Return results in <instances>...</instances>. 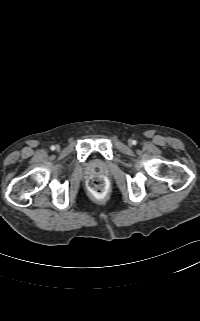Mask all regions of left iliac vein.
Listing matches in <instances>:
<instances>
[{"label":"left iliac vein","mask_w":200,"mask_h":321,"mask_svg":"<svg viewBox=\"0 0 200 321\" xmlns=\"http://www.w3.org/2000/svg\"><path fill=\"white\" fill-rule=\"evenodd\" d=\"M132 143V141H129V144H131Z\"/></svg>","instance_id":"left-iliac-vein-1"}]
</instances>
